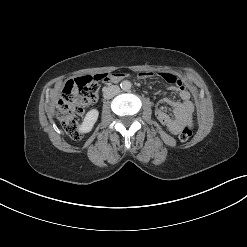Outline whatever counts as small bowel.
<instances>
[{"label": "small bowel", "mask_w": 247, "mask_h": 247, "mask_svg": "<svg viewBox=\"0 0 247 247\" xmlns=\"http://www.w3.org/2000/svg\"><path fill=\"white\" fill-rule=\"evenodd\" d=\"M124 74H112L107 77L106 82H116L124 78ZM140 77L149 78V77H159L168 82L171 85V90L175 91L181 100H173L170 98L161 99V103L170 105L173 108L174 116L171 117L165 111L157 109L155 111L157 119L165 125L170 132L173 134H178L185 125H192V115L194 111V105L190 100V92L186 89L183 82L176 75L169 72L162 73H151V72H142Z\"/></svg>", "instance_id": "1"}]
</instances>
